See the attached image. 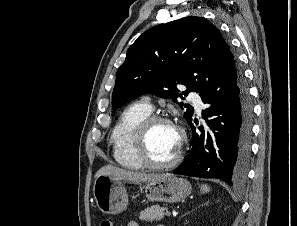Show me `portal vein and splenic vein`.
I'll list each match as a JSON object with an SVG mask.
<instances>
[{
	"label": "portal vein and splenic vein",
	"instance_id": "obj_1",
	"mask_svg": "<svg viewBox=\"0 0 297 226\" xmlns=\"http://www.w3.org/2000/svg\"><path fill=\"white\" fill-rule=\"evenodd\" d=\"M172 213L170 211H166L165 215L170 216Z\"/></svg>",
	"mask_w": 297,
	"mask_h": 226
}]
</instances>
